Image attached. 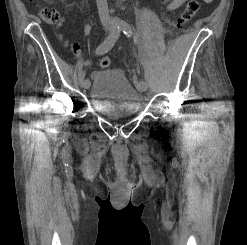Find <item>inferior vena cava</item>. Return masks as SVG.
I'll return each instance as SVG.
<instances>
[{"label":"inferior vena cava","instance_id":"1","mask_svg":"<svg viewBox=\"0 0 247 245\" xmlns=\"http://www.w3.org/2000/svg\"><path fill=\"white\" fill-rule=\"evenodd\" d=\"M97 8L101 24L103 26H109L110 16L108 11L107 0H97Z\"/></svg>","mask_w":247,"mask_h":245}]
</instances>
